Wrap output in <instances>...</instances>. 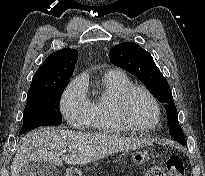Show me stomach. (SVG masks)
Instances as JSON below:
<instances>
[{
	"label": "stomach",
	"mask_w": 205,
	"mask_h": 176,
	"mask_svg": "<svg viewBox=\"0 0 205 176\" xmlns=\"http://www.w3.org/2000/svg\"><path fill=\"white\" fill-rule=\"evenodd\" d=\"M150 159L148 152L146 151H139L132 155L131 161L136 164L140 165L145 163Z\"/></svg>",
	"instance_id": "stomach-1"
}]
</instances>
